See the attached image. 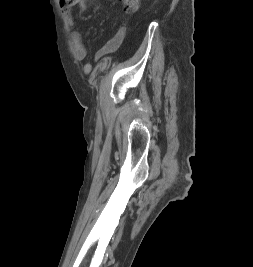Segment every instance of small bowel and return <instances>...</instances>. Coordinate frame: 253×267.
<instances>
[{
    "label": "small bowel",
    "mask_w": 253,
    "mask_h": 267,
    "mask_svg": "<svg viewBox=\"0 0 253 267\" xmlns=\"http://www.w3.org/2000/svg\"><path fill=\"white\" fill-rule=\"evenodd\" d=\"M65 16L69 26L73 30L72 39H73L75 56L79 60H84L88 55V50L82 41L81 33L77 29L76 22L72 17L70 11L68 10L65 11ZM125 34H126V28L123 26L104 44V46L101 49L98 50L96 54V59H100L104 56L116 52L123 43Z\"/></svg>",
    "instance_id": "small-bowel-1"
}]
</instances>
